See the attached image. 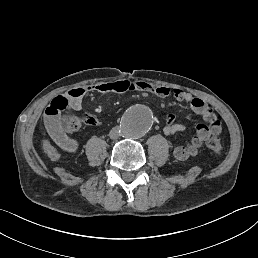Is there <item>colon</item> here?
<instances>
[{"instance_id":"colon-1","label":"colon","mask_w":258,"mask_h":258,"mask_svg":"<svg viewBox=\"0 0 258 258\" xmlns=\"http://www.w3.org/2000/svg\"><path fill=\"white\" fill-rule=\"evenodd\" d=\"M67 126L69 129L75 130L79 128L80 120L78 118L71 117L67 121ZM206 146L208 147V149H210L213 153L217 155H220L223 151V145L221 143L220 138L217 135H211L206 140ZM43 150L51 160H55L58 157L57 150L49 143H44Z\"/></svg>"}]
</instances>
